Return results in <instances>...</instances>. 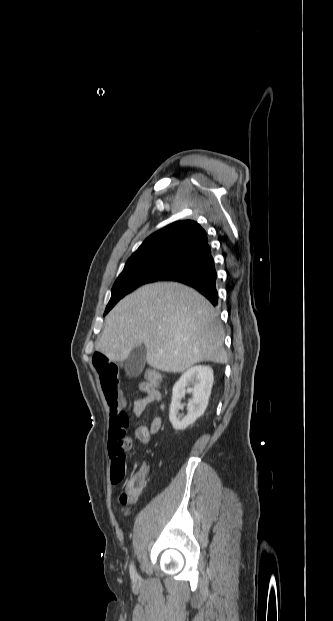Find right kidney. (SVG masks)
<instances>
[{"instance_id":"1","label":"right kidney","mask_w":333,"mask_h":621,"mask_svg":"<svg viewBox=\"0 0 333 621\" xmlns=\"http://www.w3.org/2000/svg\"><path fill=\"white\" fill-rule=\"evenodd\" d=\"M213 370L209 366H194L188 369L175 383L169 419L174 429L184 430L200 417L207 408L213 385ZM192 385V387H190ZM186 392L192 393V400L187 405V414H179L183 408L182 399Z\"/></svg>"}]
</instances>
